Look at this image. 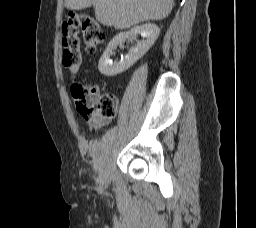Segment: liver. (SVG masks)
Listing matches in <instances>:
<instances>
[{"label":"liver","instance_id":"6515ba94","mask_svg":"<svg viewBox=\"0 0 256 228\" xmlns=\"http://www.w3.org/2000/svg\"><path fill=\"white\" fill-rule=\"evenodd\" d=\"M90 6L103 25L125 29L144 21L166 18L172 11L174 0H65V7L71 10Z\"/></svg>","mask_w":256,"mask_h":228}]
</instances>
